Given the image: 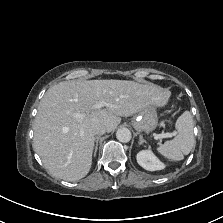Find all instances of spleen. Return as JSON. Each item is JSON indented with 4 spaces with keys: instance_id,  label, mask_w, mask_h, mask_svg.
Segmentation results:
<instances>
[{
    "instance_id": "1",
    "label": "spleen",
    "mask_w": 223,
    "mask_h": 223,
    "mask_svg": "<svg viewBox=\"0 0 223 223\" xmlns=\"http://www.w3.org/2000/svg\"><path fill=\"white\" fill-rule=\"evenodd\" d=\"M177 135L173 140L166 141L157 148V151L165 158L173 161H181L195 146L193 134L194 120L189 111H185L176 121Z\"/></svg>"
}]
</instances>
